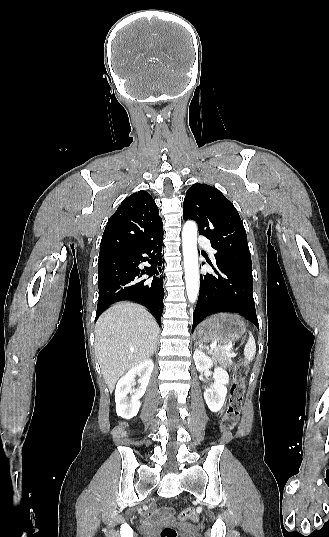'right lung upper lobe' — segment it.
Here are the masks:
<instances>
[{
	"mask_svg": "<svg viewBox=\"0 0 329 537\" xmlns=\"http://www.w3.org/2000/svg\"><path fill=\"white\" fill-rule=\"evenodd\" d=\"M163 234L162 219L153 198L139 191L124 199L105 227L100 256L130 251Z\"/></svg>",
	"mask_w": 329,
	"mask_h": 537,
	"instance_id": "cb5924a9",
	"label": "right lung upper lobe"
}]
</instances>
